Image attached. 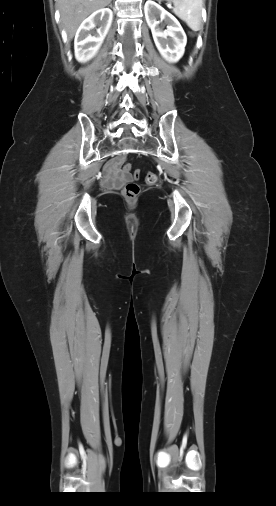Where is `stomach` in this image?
I'll use <instances>...</instances> for the list:
<instances>
[{"mask_svg": "<svg viewBox=\"0 0 276 506\" xmlns=\"http://www.w3.org/2000/svg\"><path fill=\"white\" fill-rule=\"evenodd\" d=\"M159 1H161V0H159ZM167 1H169V2H170V1H172V0H167Z\"/></svg>", "mask_w": 276, "mask_h": 506, "instance_id": "obj_1", "label": "stomach"}]
</instances>
